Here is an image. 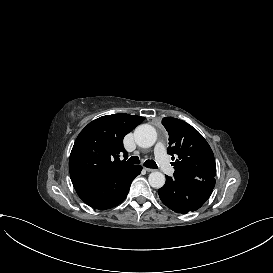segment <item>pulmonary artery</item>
<instances>
[{
    "label": "pulmonary artery",
    "mask_w": 273,
    "mask_h": 273,
    "mask_svg": "<svg viewBox=\"0 0 273 273\" xmlns=\"http://www.w3.org/2000/svg\"><path fill=\"white\" fill-rule=\"evenodd\" d=\"M154 150L159 155L158 159L160 161L161 167L165 172L166 177L169 179L174 178L176 175V171L171 160L169 159L168 154L166 153L167 152L166 147L163 144L158 143L155 145Z\"/></svg>",
    "instance_id": "pulmonary-artery-1"
}]
</instances>
